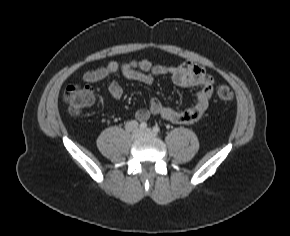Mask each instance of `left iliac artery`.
<instances>
[{
	"label": "left iliac artery",
	"instance_id": "left-iliac-artery-1",
	"mask_svg": "<svg viewBox=\"0 0 290 236\" xmlns=\"http://www.w3.org/2000/svg\"><path fill=\"white\" fill-rule=\"evenodd\" d=\"M153 131L156 132V133L160 132V128H159V126H157V125L154 126V127H153Z\"/></svg>",
	"mask_w": 290,
	"mask_h": 236
}]
</instances>
